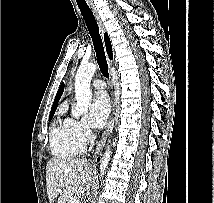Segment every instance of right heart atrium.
Here are the masks:
<instances>
[{
	"instance_id": "right-heart-atrium-1",
	"label": "right heart atrium",
	"mask_w": 214,
	"mask_h": 203,
	"mask_svg": "<svg viewBox=\"0 0 214 203\" xmlns=\"http://www.w3.org/2000/svg\"><path fill=\"white\" fill-rule=\"evenodd\" d=\"M75 135L82 142L86 143L92 137V128L86 120H72Z\"/></svg>"
}]
</instances>
